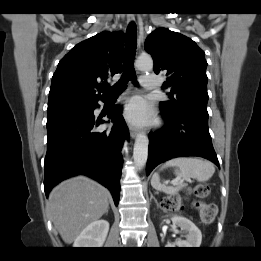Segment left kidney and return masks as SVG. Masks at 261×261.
Segmentation results:
<instances>
[{"label":"left kidney","mask_w":261,"mask_h":261,"mask_svg":"<svg viewBox=\"0 0 261 261\" xmlns=\"http://www.w3.org/2000/svg\"><path fill=\"white\" fill-rule=\"evenodd\" d=\"M174 225L181 228L182 231L187 232L186 240H180L174 244L167 243V247L180 248H198L202 241V234L199 228L189 219L182 216H173L171 218Z\"/></svg>","instance_id":"left-kidney-1"}]
</instances>
